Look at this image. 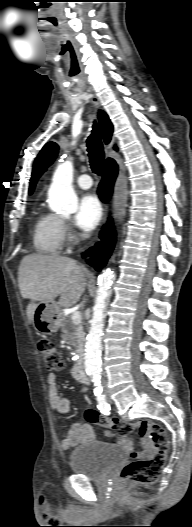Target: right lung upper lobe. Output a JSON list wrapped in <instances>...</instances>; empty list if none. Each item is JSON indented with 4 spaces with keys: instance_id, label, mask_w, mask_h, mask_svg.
<instances>
[{
    "instance_id": "obj_1",
    "label": "right lung upper lobe",
    "mask_w": 192,
    "mask_h": 527,
    "mask_svg": "<svg viewBox=\"0 0 192 527\" xmlns=\"http://www.w3.org/2000/svg\"><path fill=\"white\" fill-rule=\"evenodd\" d=\"M99 122H100V130L102 133V136L104 138V141L106 143H109L112 132H113V126L108 118V116L100 111L99 113ZM115 149H117L115 147ZM58 153V145L54 142H49L45 144V146L42 148L40 153L38 154L32 171V177L30 180V187H29V194H31L34 190L35 184L40 177V175L46 170V168L54 161ZM113 161V159L108 158L106 160V163H109Z\"/></svg>"
}]
</instances>
